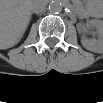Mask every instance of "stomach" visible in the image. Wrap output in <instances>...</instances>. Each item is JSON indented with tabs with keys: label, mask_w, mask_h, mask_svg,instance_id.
<instances>
[{
	"label": "stomach",
	"mask_w": 103,
	"mask_h": 103,
	"mask_svg": "<svg viewBox=\"0 0 103 103\" xmlns=\"http://www.w3.org/2000/svg\"><path fill=\"white\" fill-rule=\"evenodd\" d=\"M87 4L90 5L91 3H90V2H87Z\"/></svg>",
	"instance_id": "1"
}]
</instances>
